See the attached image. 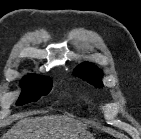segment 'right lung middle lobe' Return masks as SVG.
I'll use <instances>...</instances> for the list:
<instances>
[{
    "mask_svg": "<svg viewBox=\"0 0 141 139\" xmlns=\"http://www.w3.org/2000/svg\"><path fill=\"white\" fill-rule=\"evenodd\" d=\"M24 88L17 105H24L37 101L42 95H46L52 87V81L48 77L29 75L21 82Z\"/></svg>",
    "mask_w": 141,
    "mask_h": 139,
    "instance_id": "right-lung-middle-lobe-1",
    "label": "right lung middle lobe"
}]
</instances>
